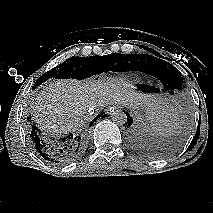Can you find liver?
Listing matches in <instances>:
<instances>
[{
	"instance_id": "obj_1",
	"label": "liver",
	"mask_w": 213,
	"mask_h": 213,
	"mask_svg": "<svg viewBox=\"0 0 213 213\" xmlns=\"http://www.w3.org/2000/svg\"><path fill=\"white\" fill-rule=\"evenodd\" d=\"M120 102L129 107L146 104L161 109V100L154 95H140L115 84L56 80L37 93L33 102L35 120L44 131L61 135L75 131L88 122V109H102L104 104Z\"/></svg>"
}]
</instances>
